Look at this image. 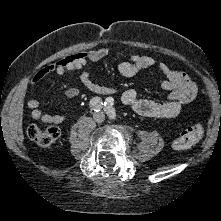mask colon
<instances>
[{"label":"colon","instance_id":"1","mask_svg":"<svg viewBox=\"0 0 221 221\" xmlns=\"http://www.w3.org/2000/svg\"><path fill=\"white\" fill-rule=\"evenodd\" d=\"M204 128L201 123H195L185 129L173 140V148L186 150L196 145L203 137ZM28 137L42 147L56 144L60 136V130L55 126L32 125L27 131Z\"/></svg>","mask_w":221,"mask_h":221}]
</instances>
